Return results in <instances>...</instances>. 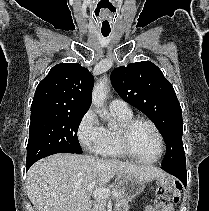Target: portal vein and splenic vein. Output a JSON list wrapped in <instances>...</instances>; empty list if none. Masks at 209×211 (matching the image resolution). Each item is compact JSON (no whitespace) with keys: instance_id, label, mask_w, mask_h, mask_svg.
<instances>
[{"instance_id":"1","label":"portal vein and splenic vein","mask_w":209,"mask_h":211,"mask_svg":"<svg viewBox=\"0 0 209 211\" xmlns=\"http://www.w3.org/2000/svg\"><path fill=\"white\" fill-rule=\"evenodd\" d=\"M96 186V183H92L89 186H87L86 190L87 192H90L94 189V187ZM113 195L115 197L118 196V192L117 191H110L107 188H97L93 191V196L97 199H107L110 197V195Z\"/></svg>"}]
</instances>
